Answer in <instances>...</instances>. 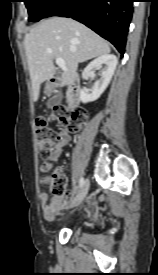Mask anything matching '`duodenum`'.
<instances>
[{"mask_svg":"<svg viewBox=\"0 0 158 275\" xmlns=\"http://www.w3.org/2000/svg\"><path fill=\"white\" fill-rule=\"evenodd\" d=\"M54 85H66L67 105L71 109L78 107L80 102V88L77 81L64 82L62 78H54L52 80Z\"/></svg>","mask_w":158,"mask_h":275,"instance_id":"obj_1","label":"duodenum"}]
</instances>
